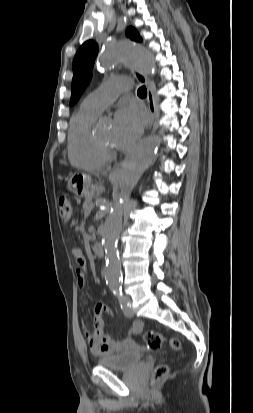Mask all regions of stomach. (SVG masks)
<instances>
[{
  "mask_svg": "<svg viewBox=\"0 0 253 413\" xmlns=\"http://www.w3.org/2000/svg\"><path fill=\"white\" fill-rule=\"evenodd\" d=\"M91 178L84 173H74L67 179V189L78 197L86 196L90 193Z\"/></svg>",
  "mask_w": 253,
  "mask_h": 413,
  "instance_id": "1",
  "label": "stomach"
}]
</instances>
